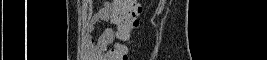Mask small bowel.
I'll list each match as a JSON object with an SVG mask.
<instances>
[{
  "mask_svg": "<svg viewBox=\"0 0 267 60\" xmlns=\"http://www.w3.org/2000/svg\"><path fill=\"white\" fill-rule=\"evenodd\" d=\"M111 11L112 7L110 4H105L103 7H101L97 11L96 16L89 23L88 31L85 35L87 46L98 57L103 55L106 50V47L113 41L114 32L112 28L107 27L101 34V36L95 41L92 36L93 27L97 20H106L107 18H109Z\"/></svg>",
  "mask_w": 267,
  "mask_h": 60,
  "instance_id": "small-bowel-1",
  "label": "small bowel"
}]
</instances>
